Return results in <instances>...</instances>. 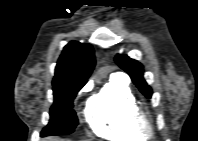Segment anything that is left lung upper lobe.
Masks as SVG:
<instances>
[{
  "instance_id": "left-lung-upper-lobe-1",
  "label": "left lung upper lobe",
  "mask_w": 198,
  "mask_h": 141,
  "mask_svg": "<svg viewBox=\"0 0 198 141\" xmlns=\"http://www.w3.org/2000/svg\"><path fill=\"white\" fill-rule=\"evenodd\" d=\"M116 63L126 71L139 90L147 97L151 98L152 89L143 78V66L138 61L129 58L127 55H117Z\"/></svg>"
}]
</instances>
